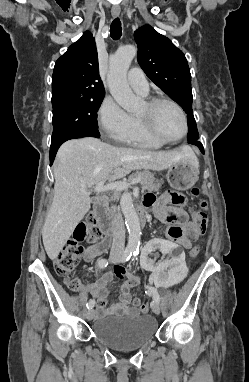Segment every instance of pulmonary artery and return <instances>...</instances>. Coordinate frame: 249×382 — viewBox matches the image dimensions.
Listing matches in <instances>:
<instances>
[{"label":"pulmonary artery","mask_w":249,"mask_h":382,"mask_svg":"<svg viewBox=\"0 0 249 382\" xmlns=\"http://www.w3.org/2000/svg\"><path fill=\"white\" fill-rule=\"evenodd\" d=\"M127 81L131 88L136 92L143 95H147L149 93L147 78L140 68L134 67L130 69L127 75Z\"/></svg>","instance_id":"1"}]
</instances>
